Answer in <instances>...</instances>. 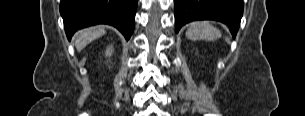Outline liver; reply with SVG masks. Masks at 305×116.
<instances>
[{
  "label": "liver",
  "mask_w": 305,
  "mask_h": 116,
  "mask_svg": "<svg viewBox=\"0 0 305 116\" xmlns=\"http://www.w3.org/2000/svg\"><path fill=\"white\" fill-rule=\"evenodd\" d=\"M105 32V29L101 26L83 30L75 40V46L77 51H81L90 42L103 36Z\"/></svg>",
  "instance_id": "liver-1"
}]
</instances>
